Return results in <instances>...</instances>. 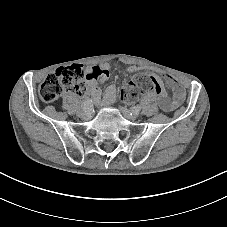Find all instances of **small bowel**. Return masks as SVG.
Returning a JSON list of instances; mask_svg holds the SVG:
<instances>
[{"label":"small bowel","instance_id":"c3829d8e","mask_svg":"<svg viewBox=\"0 0 227 227\" xmlns=\"http://www.w3.org/2000/svg\"><path fill=\"white\" fill-rule=\"evenodd\" d=\"M109 68L108 63H103L97 66L90 67L86 70L85 73V88L83 93H87L89 100L94 103L96 106H105L111 104L115 101L117 95V88L114 84H109L105 91H102L99 88V84L104 83L109 77ZM140 68L135 65L128 66L126 72L135 73L139 71ZM162 76L166 80L167 84L170 86L173 98L170 99L168 96L162 98L159 96V105L163 111L169 112L177 108L185 97V91L179 82L169 73H163ZM153 94L147 96L148 99H152Z\"/></svg>","mask_w":227,"mask_h":227}]
</instances>
